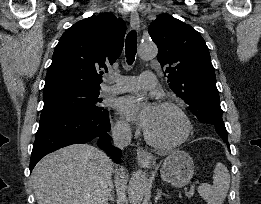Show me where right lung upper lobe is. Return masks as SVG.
<instances>
[{
  "instance_id": "right-lung-upper-lobe-1",
  "label": "right lung upper lobe",
  "mask_w": 261,
  "mask_h": 204,
  "mask_svg": "<svg viewBox=\"0 0 261 204\" xmlns=\"http://www.w3.org/2000/svg\"><path fill=\"white\" fill-rule=\"evenodd\" d=\"M125 22L108 13L75 23L61 36L47 71L43 94L99 90L101 74L120 56Z\"/></svg>"
}]
</instances>
